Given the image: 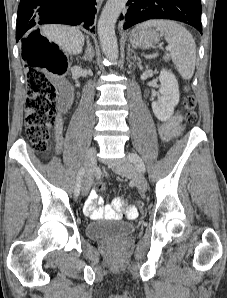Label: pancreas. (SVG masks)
<instances>
[{
	"label": "pancreas",
	"mask_w": 227,
	"mask_h": 298,
	"mask_svg": "<svg viewBox=\"0 0 227 298\" xmlns=\"http://www.w3.org/2000/svg\"><path fill=\"white\" fill-rule=\"evenodd\" d=\"M164 59H165L166 61H168V60H169V57H165Z\"/></svg>",
	"instance_id": "1"
}]
</instances>
